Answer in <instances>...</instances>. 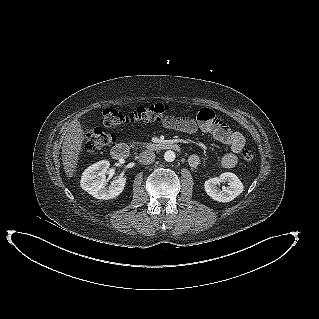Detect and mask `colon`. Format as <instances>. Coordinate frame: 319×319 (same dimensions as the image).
I'll return each mask as SVG.
<instances>
[{
  "instance_id": "1",
  "label": "colon",
  "mask_w": 319,
  "mask_h": 319,
  "mask_svg": "<svg viewBox=\"0 0 319 319\" xmlns=\"http://www.w3.org/2000/svg\"><path fill=\"white\" fill-rule=\"evenodd\" d=\"M170 112V106L165 104H153L139 106L129 113H123L116 108H106L102 113L103 123L108 127H117L124 124L147 122L160 120ZM115 140L112 133H108L101 128L89 130L85 137V149L96 151L109 146ZM242 158L246 162H253L255 154L253 151L245 149L242 151Z\"/></svg>"
}]
</instances>
